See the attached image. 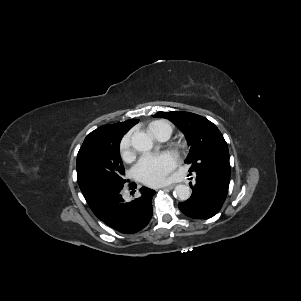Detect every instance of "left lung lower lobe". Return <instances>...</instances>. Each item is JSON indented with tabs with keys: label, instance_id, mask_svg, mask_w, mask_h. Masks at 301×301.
Returning <instances> with one entry per match:
<instances>
[{
	"label": "left lung lower lobe",
	"instance_id": "0a47b994",
	"mask_svg": "<svg viewBox=\"0 0 301 301\" xmlns=\"http://www.w3.org/2000/svg\"><path fill=\"white\" fill-rule=\"evenodd\" d=\"M195 173L196 182L190 183L191 197L178 206L188 217L208 219L221 209L228 193L230 177L209 171Z\"/></svg>",
	"mask_w": 301,
	"mask_h": 301
}]
</instances>
